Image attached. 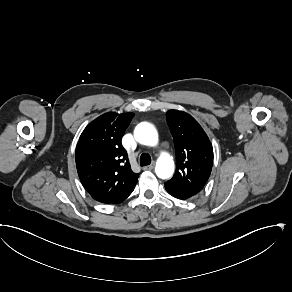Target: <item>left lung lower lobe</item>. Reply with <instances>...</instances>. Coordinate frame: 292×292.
I'll return each mask as SVG.
<instances>
[{
    "label": "left lung lower lobe",
    "instance_id": "left-lung-lower-lobe-1",
    "mask_svg": "<svg viewBox=\"0 0 292 292\" xmlns=\"http://www.w3.org/2000/svg\"><path fill=\"white\" fill-rule=\"evenodd\" d=\"M164 185H165V189L167 190V192L170 195H172L173 197L178 198V199L186 200V199L191 198L197 194L193 191L180 189V188L171 186L167 183H165Z\"/></svg>",
    "mask_w": 292,
    "mask_h": 292
}]
</instances>
